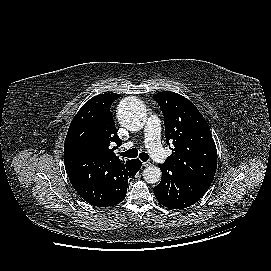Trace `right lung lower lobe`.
Listing matches in <instances>:
<instances>
[{
  "mask_svg": "<svg viewBox=\"0 0 271 271\" xmlns=\"http://www.w3.org/2000/svg\"><path fill=\"white\" fill-rule=\"evenodd\" d=\"M69 180L89 204L108 207L122 202L130 178L141 168L140 160L109 163L81 153L64 155Z\"/></svg>",
  "mask_w": 271,
  "mask_h": 271,
  "instance_id": "obj_1",
  "label": "right lung lower lobe"
}]
</instances>
